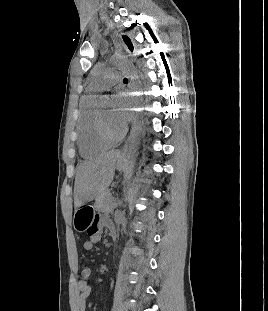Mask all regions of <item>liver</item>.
I'll use <instances>...</instances> for the list:
<instances>
[{"mask_svg":"<svg viewBox=\"0 0 268 311\" xmlns=\"http://www.w3.org/2000/svg\"><path fill=\"white\" fill-rule=\"evenodd\" d=\"M119 158H121V152L112 150L78 166L74 185L76 208L98 198L105 192L113 181L116 162Z\"/></svg>","mask_w":268,"mask_h":311,"instance_id":"liver-1","label":"liver"}]
</instances>
